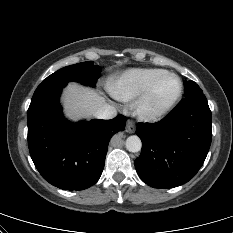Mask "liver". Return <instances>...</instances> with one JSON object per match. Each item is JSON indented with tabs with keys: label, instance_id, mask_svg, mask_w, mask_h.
<instances>
[{
	"label": "liver",
	"instance_id": "obj_1",
	"mask_svg": "<svg viewBox=\"0 0 233 233\" xmlns=\"http://www.w3.org/2000/svg\"><path fill=\"white\" fill-rule=\"evenodd\" d=\"M63 103L66 116L72 120H78L94 115L105 100L96 91L71 83L64 91Z\"/></svg>",
	"mask_w": 233,
	"mask_h": 233
}]
</instances>
